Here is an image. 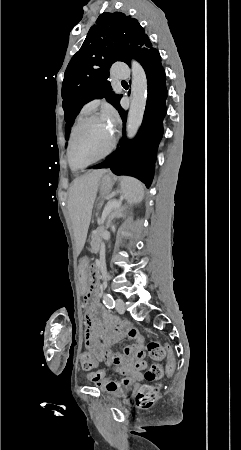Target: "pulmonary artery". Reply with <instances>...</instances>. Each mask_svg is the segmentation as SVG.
Listing matches in <instances>:
<instances>
[{
    "label": "pulmonary artery",
    "mask_w": 241,
    "mask_h": 450,
    "mask_svg": "<svg viewBox=\"0 0 241 450\" xmlns=\"http://www.w3.org/2000/svg\"><path fill=\"white\" fill-rule=\"evenodd\" d=\"M125 64H112L111 69L108 70L109 78H117V80H123L127 82L130 80L131 74L130 71H125Z\"/></svg>",
    "instance_id": "1"
}]
</instances>
